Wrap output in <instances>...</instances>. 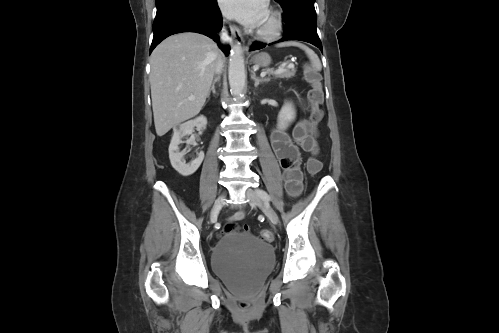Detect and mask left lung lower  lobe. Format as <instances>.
<instances>
[{
    "label": "left lung lower lobe",
    "mask_w": 499,
    "mask_h": 333,
    "mask_svg": "<svg viewBox=\"0 0 499 333\" xmlns=\"http://www.w3.org/2000/svg\"><path fill=\"white\" fill-rule=\"evenodd\" d=\"M315 0H288L281 5L284 10V37L279 40H300L311 43L322 52V44L316 31ZM271 45V44H268ZM265 44L255 42L251 50L262 49Z\"/></svg>",
    "instance_id": "obj_1"
}]
</instances>
